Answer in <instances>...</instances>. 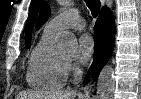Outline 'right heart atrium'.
Segmentation results:
<instances>
[{"mask_svg": "<svg viewBox=\"0 0 141 99\" xmlns=\"http://www.w3.org/2000/svg\"><path fill=\"white\" fill-rule=\"evenodd\" d=\"M66 68H67V72L74 73L76 71V68L72 64H67Z\"/></svg>", "mask_w": 141, "mask_h": 99, "instance_id": "d8ad5b80", "label": "right heart atrium"}]
</instances>
